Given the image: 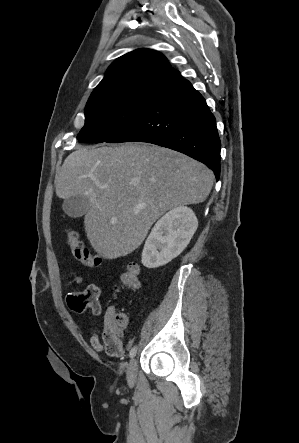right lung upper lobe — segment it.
Returning a JSON list of instances; mask_svg holds the SVG:
<instances>
[{
    "label": "right lung upper lobe",
    "mask_w": 299,
    "mask_h": 443,
    "mask_svg": "<svg viewBox=\"0 0 299 443\" xmlns=\"http://www.w3.org/2000/svg\"><path fill=\"white\" fill-rule=\"evenodd\" d=\"M183 80L167 58L152 49H137L116 59L91 96L120 88L153 87L168 89Z\"/></svg>",
    "instance_id": "right-lung-upper-lobe-1"
}]
</instances>
